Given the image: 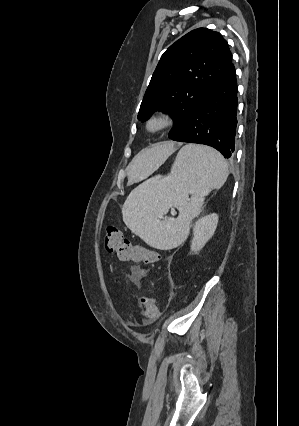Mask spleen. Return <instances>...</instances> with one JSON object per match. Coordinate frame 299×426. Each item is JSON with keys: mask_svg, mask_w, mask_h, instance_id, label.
<instances>
[{"mask_svg": "<svg viewBox=\"0 0 299 426\" xmlns=\"http://www.w3.org/2000/svg\"><path fill=\"white\" fill-rule=\"evenodd\" d=\"M228 175V163L218 151L185 145L170 174L153 177L129 194L122 207L123 221L149 246L175 248L185 240L191 221L202 212L205 196L220 189ZM174 207L179 216L161 220Z\"/></svg>", "mask_w": 299, "mask_h": 426, "instance_id": "obj_1", "label": "spleen"}]
</instances>
